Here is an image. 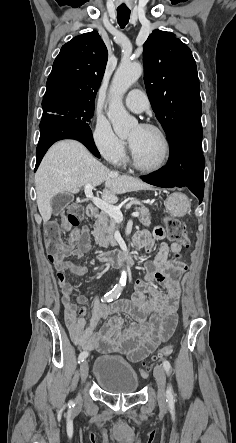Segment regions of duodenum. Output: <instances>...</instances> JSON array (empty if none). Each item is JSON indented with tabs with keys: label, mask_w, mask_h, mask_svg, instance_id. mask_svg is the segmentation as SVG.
<instances>
[{
	"label": "duodenum",
	"mask_w": 236,
	"mask_h": 443,
	"mask_svg": "<svg viewBox=\"0 0 236 443\" xmlns=\"http://www.w3.org/2000/svg\"><path fill=\"white\" fill-rule=\"evenodd\" d=\"M97 214V208L94 204H89L86 208V215L89 218L95 217ZM98 259L102 263H110L117 266H123L131 264L134 257L131 253H109L103 252L98 254Z\"/></svg>",
	"instance_id": "1"
}]
</instances>
